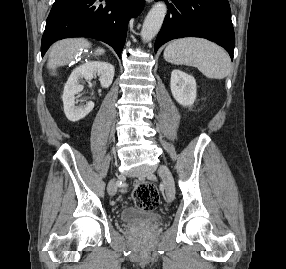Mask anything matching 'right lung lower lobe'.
I'll return each instance as SVG.
<instances>
[{
  "label": "right lung lower lobe",
  "mask_w": 286,
  "mask_h": 269,
  "mask_svg": "<svg viewBox=\"0 0 286 269\" xmlns=\"http://www.w3.org/2000/svg\"><path fill=\"white\" fill-rule=\"evenodd\" d=\"M56 0L46 21L41 53L57 40L84 36L103 41L120 56L127 23L140 14L144 0Z\"/></svg>",
  "instance_id": "1"
}]
</instances>
